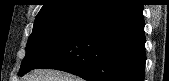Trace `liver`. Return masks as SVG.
I'll return each mask as SVG.
<instances>
[{"instance_id":"obj_1","label":"liver","mask_w":169,"mask_h":81,"mask_svg":"<svg viewBox=\"0 0 169 81\" xmlns=\"http://www.w3.org/2000/svg\"><path fill=\"white\" fill-rule=\"evenodd\" d=\"M25 79V81H80L78 77L51 69H36Z\"/></svg>"}]
</instances>
